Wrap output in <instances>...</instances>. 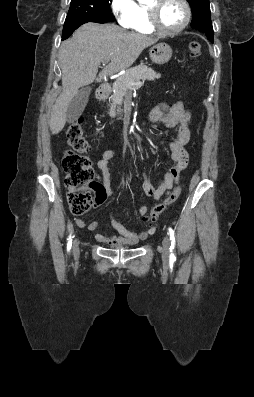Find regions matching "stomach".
Listing matches in <instances>:
<instances>
[{"label": "stomach", "mask_w": 254, "mask_h": 397, "mask_svg": "<svg viewBox=\"0 0 254 397\" xmlns=\"http://www.w3.org/2000/svg\"><path fill=\"white\" fill-rule=\"evenodd\" d=\"M149 55L153 63L163 65L172 57V49L166 43H158L150 48Z\"/></svg>", "instance_id": "0dacf381"}]
</instances>
